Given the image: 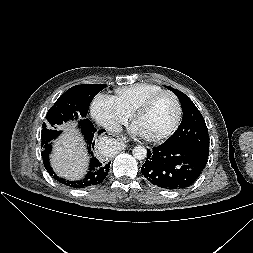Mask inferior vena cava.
<instances>
[{"label":"inferior vena cava","mask_w":253,"mask_h":253,"mask_svg":"<svg viewBox=\"0 0 253 253\" xmlns=\"http://www.w3.org/2000/svg\"><path fill=\"white\" fill-rule=\"evenodd\" d=\"M104 127L107 131L120 133L122 131V127L115 121H108L104 124Z\"/></svg>","instance_id":"obj_1"}]
</instances>
